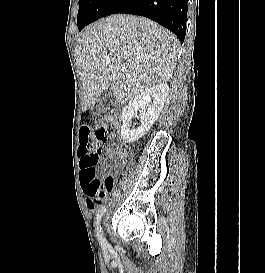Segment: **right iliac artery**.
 Here are the masks:
<instances>
[{
    "label": "right iliac artery",
    "instance_id": "1",
    "mask_svg": "<svg viewBox=\"0 0 265 273\" xmlns=\"http://www.w3.org/2000/svg\"><path fill=\"white\" fill-rule=\"evenodd\" d=\"M105 210H106L105 205H102L98 209L97 214H96V225H97L96 235H97L98 241L103 249H106L108 247V243L102 234L101 226H100V220H101V217H102L103 213L105 212Z\"/></svg>",
    "mask_w": 265,
    "mask_h": 273
}]
</instances>
